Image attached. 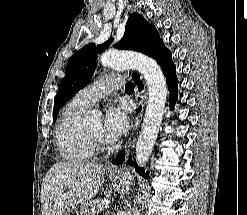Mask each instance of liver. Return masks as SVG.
Masks as SVG:
<instances>
[{
    "instance_id": "liver-1",
    "label": "liver",
    "mask_w": 247,
    "mask_h": 215,
    "mask_svg": "<svg viewBox=\"0 0 247 215\" xmlns=\"http://www.w3.org/2000/svg\"><path fill=\"white\" fill-rule=\"evenodd\" d=\"M102 164L57 162L46 173L41 188L42 215H62L86 202L103 188Z\"/></svg>"
}]
</instances>
